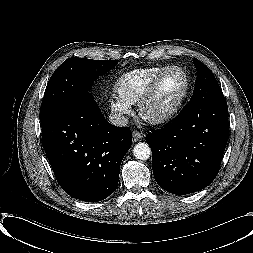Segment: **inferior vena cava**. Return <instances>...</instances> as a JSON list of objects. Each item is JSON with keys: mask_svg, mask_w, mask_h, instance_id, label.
I'll list each match as a JSON object with an SVG mask.
<instances>
[{"mask_svg": "<svg viewBox=\"0 0 253 253\" xmlns=\"http://www.w3.org/2000/svg\"><path fill=\"white\" fill-rule=\"evenodd\" d=\"M109 121L115 126H126L128 124V119L125 116L117 113L111 114L109 116Z\"/></svg>", "mask_w": 253, "mask_h": 253, "instance_id": "602c4592", "label": "inferior vena cava"}]
</instances>
